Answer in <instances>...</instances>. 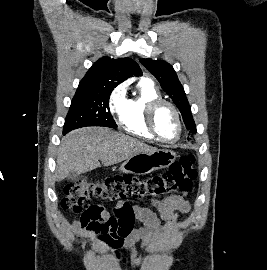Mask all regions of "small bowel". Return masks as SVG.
<instances>
[{
  "instance_id": "c3829d8e",
  "label": "small bowel",
  "mask_w": 267,
  "mask_h": 270,
  "mask_svg": "<svg viewBox=\"0 0 267 270\" xmlns=\"http://www.w3.org/2000/svg\"><path fill=\"white\" fill-rule=\"evenodd\" d=\"M153 206L157 212L120 201L116 204L115 216H111L103 205H95L93 212L82 215L73 223V227L76 230L99 235L100 241L110 244L115 249L124 246L128 251L133 252L134 244L140 241V251L132 259V265L139 268L144 261V249L163 239L178 227V219L173 212L176 210L186 214L191 209L185 194L154 201ZM135 220L143 223L142 229L132 231ZM115 255L119 254L116 252Z\"/></svg>"
}]
</instances>
